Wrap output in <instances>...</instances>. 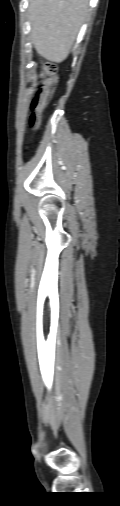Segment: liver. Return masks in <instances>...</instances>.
<instances>
[{
	"label": "liver",
	"instance_id": "liver-1",
	"mask_svg": "<svg viewBox=\"0 0 120 506\" xmlns=\"http://www.w3.org/2000/svg\"><path fill=\"white\" fill-rule=\"evenodd\" d=\"M28 11L37 53L64 61L88 14V0H30Z\"/></svg>",
	"mask_w": 120,
	"mask_h": 506
}]
</instances>
